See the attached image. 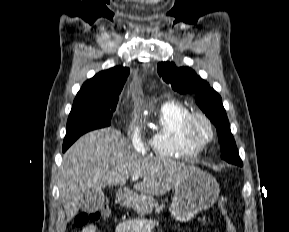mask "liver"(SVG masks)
<instances>
[{
    "label": "liver",
    "instance_id": "1",
    "mask_svg": "<svg viewBox=\"0 0 289 232\" xmlns=\"http://www.w3.org/2000/svg\"><path fill=\"white\" fill-rule=\"evenodd\" d=\"M193 166L170 159L136 157L126 137L114 128L91 131L64 154L59 173L60 199L70 221L82 207L86 190L124 186L129 177L142 181L134 189L146 196L164 195L175 188Z\"/></svg>",
    "mask_w": 289,
    "mask_h": 232
}]
</instances>
